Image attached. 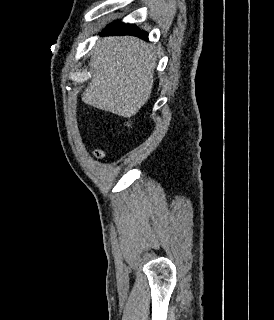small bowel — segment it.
Returning <instances> with one entry per match:
<instances>
[{"mask_svg":"<svg viewBox=\"0 0 274 320\" xmlns=\"http://www.w3.org/2000/svg\"><path fill=\"white\" fill-rule=\"evenodd\" d=\"M101 151H102V148L100 146H91L90 147V152L95 153L94 154L95 159H102L103 163H110L111 157L105 156L104 152H101Z\"/></svg>","mask_w":274,"mask_h":320,"instance_id":"small-bowel-1","label":"small bowel"}]
</instances>
